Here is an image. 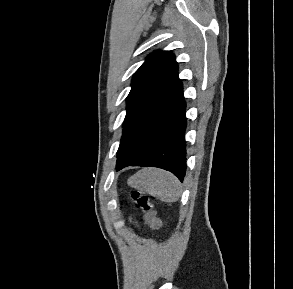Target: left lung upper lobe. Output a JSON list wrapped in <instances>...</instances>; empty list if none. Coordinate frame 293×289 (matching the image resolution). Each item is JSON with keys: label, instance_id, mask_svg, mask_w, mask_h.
Listing matches in <instances>:
<instances>
[{"label": "left lung upper lobe", "instance_id": "1", "mask_svg": "<svg viewBox=\"0 0 293 289\" xmlns=\"http://www.w3.org/2000/svg\"><path fill=\"white\" fill-rule=\"evenodd\" d=\"M179 82L178 65L171 51H157L149 55L132 78V89L126 99L127 113L123 123V135L139 117ZM131 158L132 154L127 152L121 139L116 167L130 161Z\"/></svg>", "mask_w": 293, "mask_h": 289}]
</instances>
